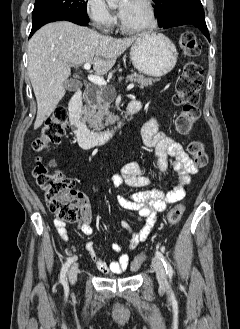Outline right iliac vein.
I'll list each match as a JSON object with an SVG mask.
<instances>
[{"label":"right iliac vein","mask_w":240,"mask_h":329,"mask_svg":"<svg viewBox=\"0 0 240 329\" xmlns=\"http://www.w3.org/2000/svg\"><path fill=\"white\" fill-rule=\"evenodd\" d=\"M78 264H74L69 272V281L73 285L77 280Z\"/></svg>","instance_id":"63e3f726"}]
</instances>
